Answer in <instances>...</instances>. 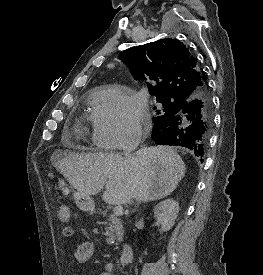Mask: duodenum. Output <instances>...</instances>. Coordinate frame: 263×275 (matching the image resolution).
Segmentation results:
<instances>
[{
    "mask_svg": "<svg viewBox=\"0 0 263 275\" xmlns=\"http://www.w3.org/2000/svg\"><path fill=\"white\" fill-rule=\"evenodd\" d=\"M134 255V249L130 243H125L122 251L119 255V261L121 263H127L130 262Z\"/></svg>",
    "mask_w": 263,
    "mask_h": 275,
    "instance_id": "410a0bca",
    "label": "duodenum"
}]
</instances>
